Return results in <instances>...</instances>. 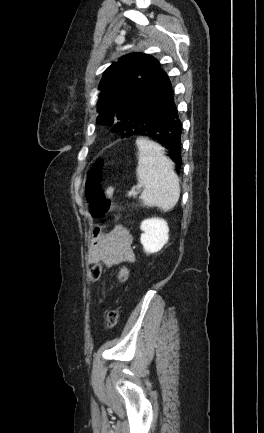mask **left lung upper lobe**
Here are the masks:
<instances>
[{
	"label": "left lung upper lobe",
	"mask_w": 264,
	"mask_h": 433,
	"mask_svg": "<svg viewBox=\"0 0 264 433\" xmlns=\"http://www.w3.org/2000/svg\"><path fill=\"white\" fill-rule=\"evenodd\" d=\"M162 73L159 62L144 53H131L113 62L103 73L97 112L98 124L111 125L128 137L120 125L122 117L138 96Z\"/></svg>",
	"instance_id": "left-lung-upper-lobe-1"
}]
</instances>
